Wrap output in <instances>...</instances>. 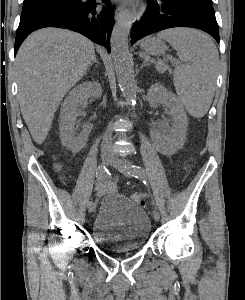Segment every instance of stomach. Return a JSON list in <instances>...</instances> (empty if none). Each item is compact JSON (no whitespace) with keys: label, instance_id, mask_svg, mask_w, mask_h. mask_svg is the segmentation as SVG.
Segmentation results:
<instances>
[{"label":"stomach","instance_id":"stomach-1","mask_svg":"<svg viewBox=\"0 0 245 300\" xmlns=\"http://www.w3.org/2000/svg\"><path fill=\"white\" fill-rule=\"evenodd\" d=\"M140 46L143 51L156 56L163 54L167 48L165 43L160 38L156 37L144 39Z\"/></svg>","mask_w":245,"mask_h":300}]
</instances>
